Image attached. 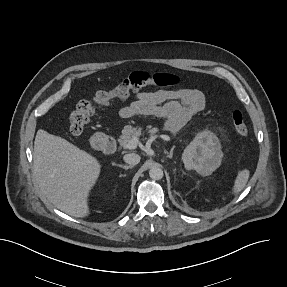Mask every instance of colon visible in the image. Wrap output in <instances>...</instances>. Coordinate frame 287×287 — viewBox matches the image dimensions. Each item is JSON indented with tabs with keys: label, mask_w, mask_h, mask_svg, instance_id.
Here are the masks:
<instances>
[{
	"label": "colon",
	"mask_w": 287,
	"mask_h": 287,
	"mask_svg": "<svg viewBox=\"0 0 287 287\" xmlns=\"http://www.w3.org/2000/svg\"><path fill=\"white\" fill-rule=\"evenodd\" d=\"M178 83V76L171 73L133 71L113 89L97 91L91 99L79 101L68 118L69 132L74 137L80 136L94 114L97 105H108L113 99H126L132 93L148 85L169 88ZM231 118L235 132L240 136H246L248 128L242 113L235 110Z\"/></svg>",
	"instance_id": "1"
}]
</instances>
